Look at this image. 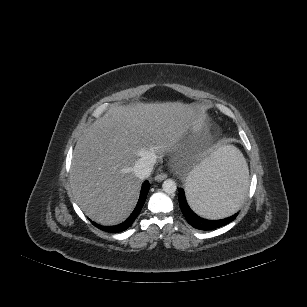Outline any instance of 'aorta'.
<instances>
[{
	"mask_svg": "<svg viewBox=\"0 0 307 307\" xmlns=\"http://www.w3.org/2000/svg\"><path fill=\"white\" fill-rule=\"evenodd\" d=\"M163 191L168 194H173L176 192L177 185L172 179H166L162 184Z\"/></svg>",
	"mask_w": 307,
	"mask_h": 307,
	"instance_id": "1",
	"label": "aorta"
}]
</instances>
